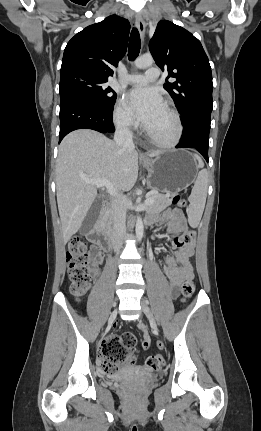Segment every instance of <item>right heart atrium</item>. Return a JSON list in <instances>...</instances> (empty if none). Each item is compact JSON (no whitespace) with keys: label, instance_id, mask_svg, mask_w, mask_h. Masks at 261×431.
<instances>
[{"label":"right heart atrium","instance_id":"1","mask_svg":"<svg viewBox=\"0 0 261 431\" xmlns=\"http://www.w3.org/2000/svg\"><path fill=\"white\" fill-rule=\"evenodd\" d=\"M113 122L122 131H132L137 125L135 118L122 100L115 106Z\"/></svg>","mask_w":261,"mask_h":431}]
</instances>
